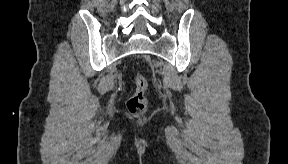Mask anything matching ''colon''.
<instances>
[{
    "label": "colon",
    "instance_id": "5ec220e1",
    "mask_svg": "<svg viewBox=\"0 0 288 164\" xmlns=\"http://www.w3.org/2000/svg\"><path fill=\"white\" fill-rule=\"evenodd\" d=\"M135 91L126 102L128 112L134 116L143 115L148 104V82L146 78L140 74L134 77Z\"/></svg>",
    "mask_w": 288,
    "mask_h": 164
}]
</instances>
